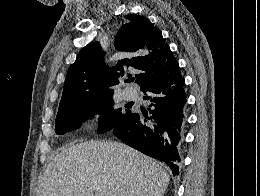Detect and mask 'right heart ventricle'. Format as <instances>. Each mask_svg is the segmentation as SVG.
Segmentation results:
<instances>
[{
	"instance_id": "right-heart-ventricle-1",
	"label": "right heart ventricle",
	"mask_w": 260,
	"mask_h": 196,
	"mask_svg": "<svg viewBox=\"0 0 260 196\" xmlns=\"http://www.w3.org/2000/svg\"><path fill=\"white\" fill-rule=\"evenodd\" d=\"M66 192H79V190H66Z\"/></svg>"
}]
</instances>
